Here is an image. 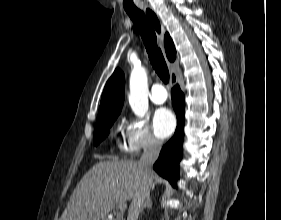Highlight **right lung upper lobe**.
Segmentation results:
<instances>
[{"label":"right lung upper lobe","mask_w":281,"mask_h":220,"mask_svg":"<svg viewBox=\"0 0 281 220\" xmlns=\"http://www.w3.org/2000/svg\"><path fill=\"white\" fill-rule=\"evenodd\" d=\"M166 55L170 61H174L176 50L172 39L166 33L164 37ZM124 101V74L117 68L107 81L99 108L97 119L119 115Z\"/></svg>","instance_id":"cb5924a9"}]
</instances>
